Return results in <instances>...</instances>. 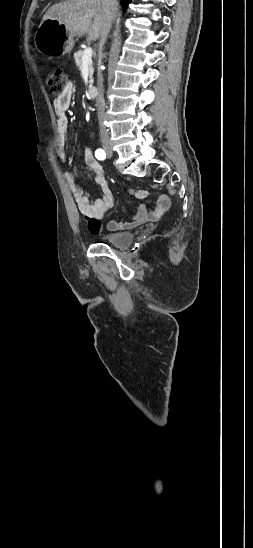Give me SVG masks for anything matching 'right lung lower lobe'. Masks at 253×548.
Here are the masks:
<instances>
[{"instance_id":"1","label":"right lung lower lobe","mask_w":253,"mask_h":548,"mask_svg":"<svg viewBox=\"0 0 253 548\" xmlns=\"http://www.w3.org/2000/svg\"><path fill=\"white\" fill-rule=\"evenodd\" d=\"M122 1V4L127 7L128 4L131 2V0H121Z\"/></svg>"}]
</instances>
